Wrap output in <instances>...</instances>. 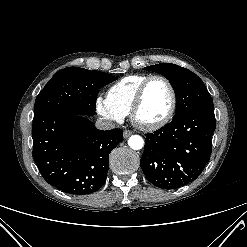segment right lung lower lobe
Listing matches in <instances>:
<instances>
[{
	"instance_id": "obj_1",
	"label": "right lung lower lobe",
	"mask_w": 247,
	"mask_h": 247,
	"mask_svg": "<svg viewBox=\"0 0 247 247\" xmlns=\"http://www.w3.org/2000/svg\"><path fill=\"white\" fill-rule=\"evenodd\" d=\"M32 138V156L44 179L68 194L85 195L105 183L109 153L123 132L98 130L87 115L53 111L34 118Z\"/></svg>"
}]
</instances>
